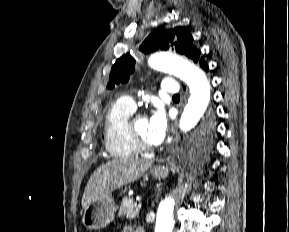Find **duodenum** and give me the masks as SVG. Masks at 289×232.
<instances>
[{
    "mask_svg": "<svg viewBox=\"0 0 289 232\" xmlns=\"http://www.w3.org/2000/svg\"><path fill=\"white\" fill-rule=\"evenodd\" d=\"M138 232H144V230L141 228H138Z\"/></svg>",
    "mask_w": 289,
    "mask_h": 232,
    "instance_id": "410a0bca",
    "label": "duodenum"
}]
</instances>
